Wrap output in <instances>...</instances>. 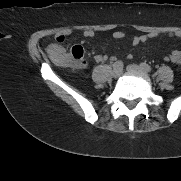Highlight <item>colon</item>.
I'll return each mask as SVG.
<instances>
[{
  "instance_id": "5ec220e1",
  "label": "colon",
  "mask_w": 181,
  "mask_h": 181,
  "mask_svg": "<svg viewBox=\"0 0 181 181\" xmlns=\"http://www.w3.org/2000/svg\"><path fill=\"white\" fill-rule=\"evenodd\" d=\"M56 40L57 42L62 43L64 41V36L57 37ZM83 55V47L76 45L71 50L70 58H62L59 62L63 66L82 67L85 65Z\"/></svg>"
}]
</instances>
